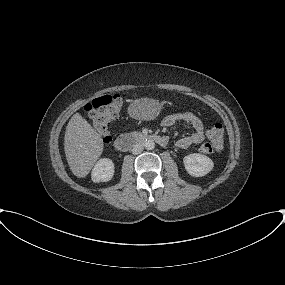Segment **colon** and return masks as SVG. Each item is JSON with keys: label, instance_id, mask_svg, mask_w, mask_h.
I'll use <instances>...</instances> for the list:
<instances>
[{"label": "colon", "instance_id": "1", "mask_svg": "<svg viewBox=\"0 0 285 285\" xmlns=\"http://www.w3.org/2000/svg\"><path fill=\"white\" fill-rule=\"evenodd\" d=\"M123 96L120 94L104 95L94 99L85 110L91 119L94 129L99 133L105 144L110 143V124L116 120L120 113ZM209 142L201 147L205 154L218 152L223 148L224 129L221 124H214L208 129Z\"/></svg>", "mask_w": 285, "mask_h": 285}]
</instances>
